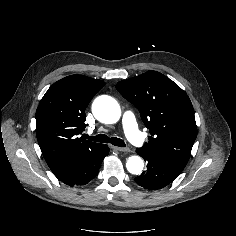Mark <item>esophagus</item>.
Segmentation results:
<instances>
[{"label":"esophagus","instance_id":"esophagus-1","mask_svg":"<svg viewBox=\"0 0 236 236\" xmlns=\"http://www.w3.org/2000/svg\"><path fill=\"white\" fill-rule=\"evenodd\" d=\"M115 151H119V152H129V148H123V147H117V146H113L112 147Z\"/></svg>","mask_w":236,"mask_h":236}]
</instances>
